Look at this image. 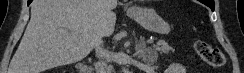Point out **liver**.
Wrapping results in <instances>:
<instances>
[{"label": "liver", "mask_w": 244, "mask_h": 73, "mask_svg": "<svg viewBox=\"0 0 244 73\" xmlns=\"http://www.w3.org/2000/svg\"><path fill=\"white\" fill-rule=\"evenodd\" d=\"M117 0H34L8 73H42L85 58L113 34Z\"/></svg>", "instance_id": "liver-1"}]
</instances>
